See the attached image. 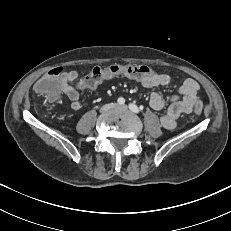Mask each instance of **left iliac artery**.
I'll return each mask as SVG.
<instances>
[{"label":"left iliac artery","instance_id":"obj_1","mask_svg":"<svg viewBox=\"0 0 231 231\" xmlns=\"http://www.w3.org/2000/svg\"><path fill=\"white\" fill-rule=\"evenodd\" d=\"M129 108L134 113H139L140 112L139 108L135 104H132V103L129 104Z\"/></svg>","mask_w":231,"mask_h":231}]
</instances>
